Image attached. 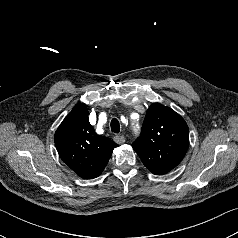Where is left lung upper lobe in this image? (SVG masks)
<instances>
[{
  "mask_svg": "<svg viewBox=\"0 0 238 238\" xmlns=\"http://www.w3.org/2000/svg\"><path fill=\"white\" fill-rule=\"evenodd\" d=\"M189 146V129L184 119L174 110L152 104L143 122L141 135L132 147L143 164L156 175L175 168Z\"/></svg>",
  "mask_w": 238,
  "mask_h": 238,
  "instance_id": "left-lung-upper-lobe-1",
  "label": "left lung upper lobe"
}]
</instances>
